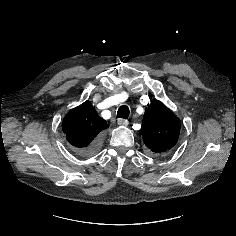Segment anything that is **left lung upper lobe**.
<instances>
[{
	"instance_id": "5c2ea615",
	"label": "left lung upper lobe",
	"mask_w": 236,
	"mask_h": 236,
	"mask_svg": "<svg viewBox=\"0 0 236 236\" xmlns=\"http://www.w3.org/2000/svg\"><path fill=\"white\" fill-rule=\"evenodd\" d=\"M141 134L144 144L153 154H163L178 141L179 119L162 102L154 100L144 113Z\"/></svg>"
}]
</instances>
